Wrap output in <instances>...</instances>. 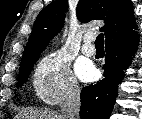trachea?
<instances>
[{
    "mask_svg": "<svg viewBox=\"0 0 142 119\" xmlns=\"http://www.w3.org/2000/svg\"><path fill=\"white\" fill-rule=\"evenodd\" d=\"M95 46L100 48L104 47V35L102 33L97 36L95 40Z\"/></svg>",
    "mask_w": 142,
    "mask_h": 119,
    "instance_id": "3493384b",
    "label": "trachea"
}]
</instances>
